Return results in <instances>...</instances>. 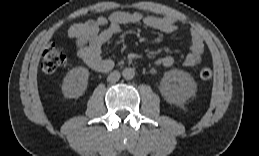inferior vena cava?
<instances>
[{"label": "inferior vena cava", "instance_id": "602c4592", "mask_svg": "<svg viewBox=\"0 0 259 156\" xmlns=\"http://www.w3.org/2000/svg\"><path fill=\"white\" fill-rule=\"evenodd\" d=\"M120 79V73L118 71H113L107 77V81L110 83H115Z\"/></svg>", "mask_w": 259, "mask_h": 156}]
</instances>
